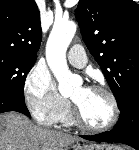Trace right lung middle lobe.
<instances>
[{
    "label": "right lung middle lobe",
    "mask_w": 139,
    "mask_h": 150,
    "mask_svg": "<svg viewBox=\"0 0 139 150\" xmlns=\"http://www.w3.org/2000/svg\"><path fill=\"white\" fill-rule=\"evenodd\" d=\"M36 58L0 51V93L24 99V83Z\"/></svg>",
    "instance_id": "obj_1"
}]
</instances>
